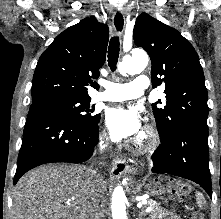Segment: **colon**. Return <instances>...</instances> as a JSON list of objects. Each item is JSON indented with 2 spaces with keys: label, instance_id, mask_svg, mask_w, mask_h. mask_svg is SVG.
<instances>
[{
  "label": "colon",
  "instance_id": "1",
  "mask_svg": "<svg viewBox=\"0 0 221 219\" xmlns=\"http://www.w3.org/2000/svg\"><path fill=\"white\" fill-rule=\"evenodd\" d=\"M177 190H178V194L185 193L186 187L183 185H178ZM191 219H204V217L200 214H196V215L192 216Z\"/></svg>",
  "mask_w": 221,
  "mask_h": 219
}]
</instances>
